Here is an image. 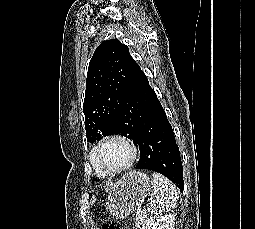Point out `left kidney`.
<instances>
[{"label": "left kidney", "mask_w": 255, "mask_h": 229, "mask_svg": "<svg viewBox=\"0 0 255 229\" xmlns=\"http://www.w3.org/2000/svg\"><path fill=\"white\" fill-rule=\"evenodd\" d=\"M174 220L172 214L152 216L146 220L141 229H174Z\"/></svg>", "instance_id": "left-kidney-1"}]
</instances>
